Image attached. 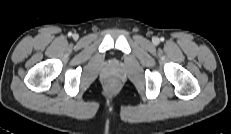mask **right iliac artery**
<instances>
[{"mask_svg":"<svg viewBox=\"0 0 231 134\" xmlns=\"http://www.w3.org/2000/svg\"><path fill=\"white\" fill-rule=\"evenodd\" d=\"M68 36H72V33H71V32H69V33H68Z\"/></svg>","mask_w":231,"mask_h":134,"instance_id":"82829eb1","label":"right iliac artery"}]
</instances>
